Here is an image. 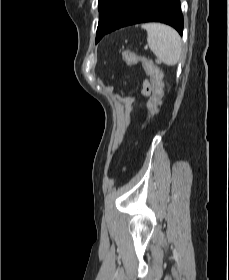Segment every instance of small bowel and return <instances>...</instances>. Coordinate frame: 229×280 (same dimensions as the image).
<instances>
[{
    "label": "small bowel",
    "instance_id": "small-bowel-1",
    "mask_svg": "<svg viewBox=\"0 0 229 280\" xmlns=\"http://www.w3.org/2000/svg\"><path fill=\"white\" fill-rule=\"evenodd\" d=\"M148 63H151V62H147V63L143 64V68H144L145 72L149 75L148 70H147ZM143 93H145L144 89H143Z\"/></svg>",
    "mask_w": 229,
    "mask_h": 280
}]
</instances>
